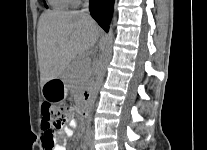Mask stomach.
Listing matches in <instances>:
<instances>
[{
  "instance_id": "obj_1",
  "label": "stomach",
  "mask_w": 207,
  "mask_h": 150,
  "mask_svg": "<svg viewBox=\"0 0 207 150\" xmlns=\"http://www.w3.org/2000/svg\"><path fill=\"white\" fill-rule=\"evenodd\" d=\"M67 84L63 78L48 81L42 86V95L45 99L59 101L67 96Z\"/></svg>"
}]
</instances>
